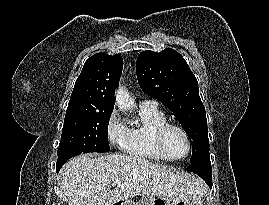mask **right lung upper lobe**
Instances as JSON below:
<instances>
[{
    "label": "right lung upper lobe",
    "instance_id": "obj_1",
    "mask_svg": "<svg viewBox=\"0 0 269 205\" xmlns=\"http://www.w3.org/2000/svg\"><path fill=\"white\" fill-rule=\"evenodd\" d=\"M123 68L120 54L97 53L85 62L75 82L68 108L113 111L114 91Z\"/></svg>",
    "mask_w": 269,
    "mask_h": 205
}]
</instances>
